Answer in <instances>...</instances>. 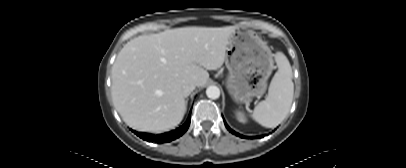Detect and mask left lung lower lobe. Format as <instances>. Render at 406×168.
<instances>
[{"instance_id": "left-lung-lower-lobe-1", "label": "left lung lower lobe", "mask_w": 406, "mask_h": 168, "mask_svg": "<svg viewBox=\"0 0 406 168\" xmlns=\"http://www.w3.org/2000/svg\"><path fill=\"white\" fill-rule=\"evenodd\" d=\"M224 123H225L226 128H227L231 133H233V134H235V135H237V136H239V137H242V138H251V139H252V138H261V137H262V136H255V137L242 136V135L236 133L235 131H233L232 129H230V127L226 124L225 121H224Z\"/></svg>"}]
</instances>
